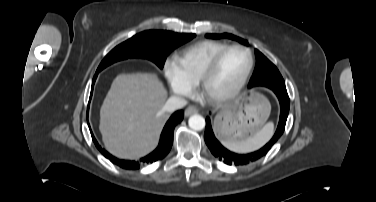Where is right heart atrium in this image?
Listing matches in <instances>:
<instances>
[{"instance_id":"d8ad5b80","label":"right heart atrium","mask_w":376,"mask_h":202,"mask_svg":"<svg viewBox=\"0 0 376 202\" xmlns=\"http://www.w3.org/2000/svg\"><path fill=\"white\" fill-rule=\"evenodd\" d=\"M164 73L170 90L179 97L192 95L193 87L182 77L174 59H168L164 63Z\"/></svg>"}]
</instances>
